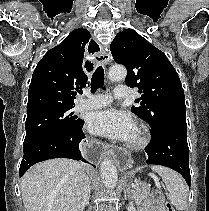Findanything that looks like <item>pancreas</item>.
<instances>
[{
  "mask_svg": "<svg viewBox=\"0 0 209 211\" xmlns=\"http://www.w3.org/2000/svg\"><path fill=\"white\" fill-rule=\"evenodd\" d=\"M150 194V185L143 181H137L131 191V200L139 205L147 199Z\"/></svg>",
  "mask_w": 209,
  "mask_h": 211,
  "instance_id": "cf45deb5",
  "label": "pancreas"
}]
</instances>
